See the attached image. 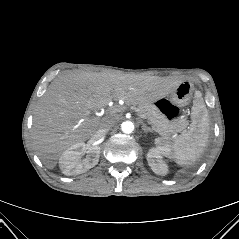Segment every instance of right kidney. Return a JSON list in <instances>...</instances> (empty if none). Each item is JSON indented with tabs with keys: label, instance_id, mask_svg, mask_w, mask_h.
<instances>
[{
	"label": "right kidney",
	"instance_id": "ca27d5eb",
	"mask_svg": "<svg viewBox=\"0 0 239 239\" xmlns=\"http://www.w3.org/2000/svg\"><path fill=\"white\" fill-rule=\"evenodd\" d=\"M87 153L84 159L82 155ZM100 147L86 148L84 142L77 143L63 152L59 159V167L65 175H77L86 172L99 162Z\"/></svg>",
	"mask_w": 239,
	"mask_h": 239
}]
</instances>
